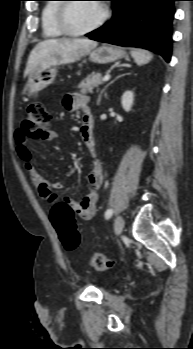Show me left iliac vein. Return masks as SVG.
Masks as SVG:
<instances>
[{
	"instance_id": "obj_1",
	"label": "left iliac vein",
	"mask_w": 193,
	"mask_h": 349,
	"mask_svg": "<svg viewBox=\"0 0 193 349\" xmlns=\"http://www.w3.org/2000/svg\"><path fill=\"white\" fill-rule=\"evenodd\" d=\"M124 220L121 216H117L114 222V232L116 235H120L123 231Z\"/></svg>"
}]
</instances>
